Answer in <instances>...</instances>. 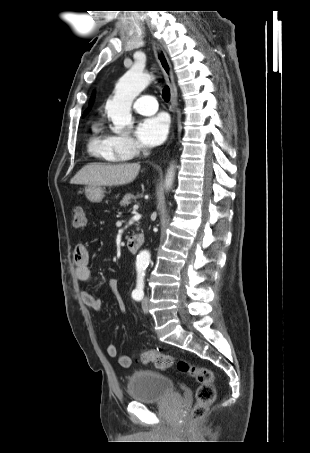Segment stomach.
<instances>
[{
    "mask_svg": "<svg viewBox=\"0 0 310 453\" xmlns=\"http://www.w3.org/2000/svg\"><path fill=\"white\" fill-rule=\"evenodd\" d=\"M104 191L100 186H88L85 189V196L90 202H100Z\"/></svg>",
    "mask_w": 310,
    "mask_h": 453,
    "instance_id": "0dacf381",
    "label": "stomach"
}]
</instances>
